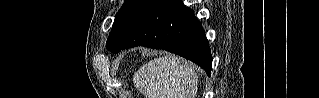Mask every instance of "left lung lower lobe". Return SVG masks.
<instances>
[{
    "label": "left lung lower lobe",
    "instance_id": "left-lung-lower-lobe-1",
    "mask_svg": "<svg viewBox=\"0 0 319 98\" xmlns=\"http://www.w3.org/2000/svg\"><path fill=\"white\" fill-rule=\"evenodd\" d=\"M140 45L185 57L210 76L212 57L205 32L181 0H157L137 31L113 53Z\"/></svg>",
    "mask_w": 319,
    "mask_h": 98
}]
</instances>
